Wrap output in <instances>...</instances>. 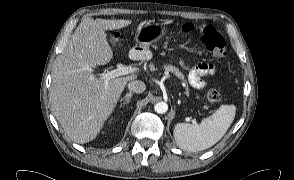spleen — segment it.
<instances>
[{"instance_id": "1", "label": "spleen", "mask_w": 294, "mask_h": 180, "mask_svg": "<svg viewBox=\"0 0 294 180\" xmlns=\"http://www.w3.org/2000/svg\"><path fill=\"white\" fill-rule=\"evenodd\" d=\"M234 117L235 107L222 105L199 124L177 123L174 127V138L184 150L210 148L224 136Z\"/></svg>"}]
</instances>
